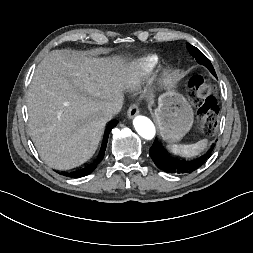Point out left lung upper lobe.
I'll return each instance as SVG.
<instances>
[{
	"instance_id": "left-lung-upper-lobe-1",
	"label": "left lung upper lobe",
	"mask_w": 253,
	"mask_h": 253,
	"mask_svg": "<svg viewBox=\"0 0 253 253\" xmlns=\"http://www.w3.org/2000/svg\"><path fill=\"white\" fill-rule=\"evenodd\" d=\"M187 49L189 50L190 54L195 58H207L199 49L189 43H187Z\"/></svg>"
}]
</instances>
